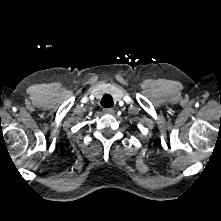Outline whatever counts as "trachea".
Instances as JSON below:
<instances>
[{"mask_svg":"<svg viewBox=\"0 0 221 221\" xmlns=\"http://www.w3.org/2000/svg\"><path fill=\"white\" fill-rule=\"evenodd\" d=\"M113 98L109 94H105L101 99V105L103 107L109 108L113 106Z\"/></svg>","mask_w":221,"mask_h":221,"instance_id":"trachea-1","label":"trachea"}]
</instances>
